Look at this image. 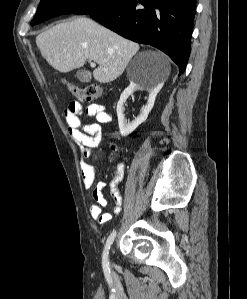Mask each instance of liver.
<instances>
[{
    "label": "liver",
    "instance_id": "1",
    "mask_svg": "<svg viewBox=\"0 0 247 299\" xmlns=\"http://www.w3.org/2000/svg\"><path fill=\"white\" fill-rule=\"evenodd\" d=\"M36 44L43 58L54 69L67 73L82 67L87 60L99 67L93 77L100 83L117 79L139 45L99 25L87 17L57 24L36 37ZM163 68V80L170 74V65L162 53L155 52Z\"/></svg>",
    "mask_w": 247,
    "mask_h": 299
}]
</instances>
